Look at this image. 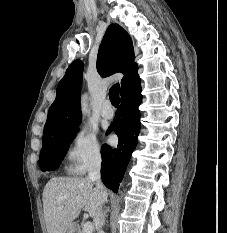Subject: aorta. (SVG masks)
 <instances>
[{
	"label": "aorta",
	"instance_id": "1",
	"mask_svg": "<svg viewBox=\"0 0 227 233\" xmlns=\"http://www.w3.org/2000/svg\"><path fill=\"white\" fill-rule=\"evenodd\" d=\"M86 99H87V97H86V96H83V97H82V100H81L83 112H86V110H87V108H86V106H87V104H86Z\"/></svg>",
	"mask_w": 227,
	"mask_h": 233
}]
</instances>
